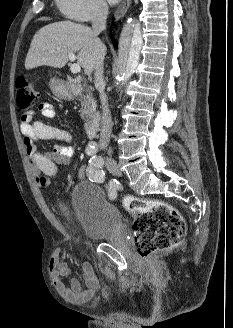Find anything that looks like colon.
I'll return each instance as SVG.
<instances>
[{
  "mask_svg": "<svg viewBox=\"0 0 233 328\" xmlns=\"http://www.w3.org/2000/svg\"><path fill=\"white\" fill-rule=\"evenodd\" d=\"M16 102L20 110L31 106L37 97L34 85L25 77L15 82ZM125 208L136 216L133 228L134 245L138 255L151 254L178 245L185 236L186 224L180 212L157 200L128 197Z\"/></svg>",
  "mask_w": 233,
  "mask_h": 328,
  "instance_id": "5ec220e1",
  "label": "colon"
}]
</instances>
